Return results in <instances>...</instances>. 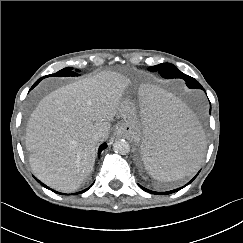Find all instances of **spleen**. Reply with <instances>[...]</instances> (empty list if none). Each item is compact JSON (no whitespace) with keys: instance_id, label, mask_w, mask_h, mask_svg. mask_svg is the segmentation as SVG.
Returning <instances> with one entry per match:
<instances>
[{"instance_id":"3e777b00","label":"spleen","mask_w":243,"mask_h":243,"mask_svg":"<svg viewBox=\"0 0 243 243\" xmlns=\"http://www.w3.org/2000/svg\"><path fill=\"white\" fill-rule=\"evenodd\" d=\"M141 161L160 182L193 174L200 166L206 141L196 116L173 95L155 87L140 92Z\"/></svg>"}]
</instances>
